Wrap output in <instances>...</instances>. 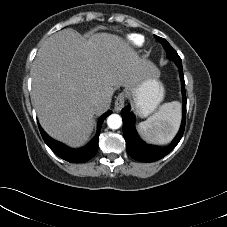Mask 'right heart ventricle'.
I'll return each instance as SVG.
<instances>
[{
	"label": "right heart ventricle",
	"instance_id": "obj_1",
	"mask_svg": "<svg viewBox=\"0 0 227 227\" xmlns=\"http://www.w3.org/2000/svg\"><path fill=\"white\" fill-rule=\"evenodd\" d=\"M128 39H129V41H130L132 44H134V45H136V46H140V45L142 44V42H143L142 37L139 36V35H136V34L130 35V36L128 37Z\"/></svg>",
	"mask_w": 227,
	"mask_h": 227
}]
</instances>
